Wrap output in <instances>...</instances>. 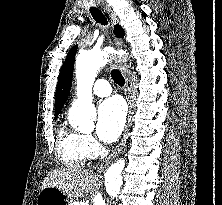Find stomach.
<instances>
[{
    "instance_id": "0dacf381",
    "label": "stomach",
    "mask_w": 222,
    "mask_h": 205,
    "mask_svg": "<svg viewBox=\"0 0 222 205\" xmlns=\"http://www.w3.org/2000/svg\"><path fill=\"white\" fill-rule=\"evenodd\" d=\"M70 203L67 194L54 187L42 188L37 196V205H70Z\"/></svg>"
}]
</instances>
